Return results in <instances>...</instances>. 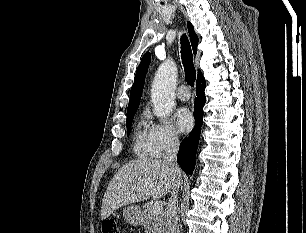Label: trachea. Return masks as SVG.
<instances>
[{
  "mask_svg": "<svg viewBox=\"0 0 306 233\" xmlns=\"http://www.w3.org/2000/svg\"><path fill=\"white\" fill-rule=\"evenodd\" d=\"M181 56L184 66L186 81L190 86H194L196 70L193 64V54L189 40L186 35L181 37Z\"/></svg>",
  "mask_w": 306,
  "mask_h": 233,
  "instance_id": "1",
  "label": "trachea"
}]
</instances>
